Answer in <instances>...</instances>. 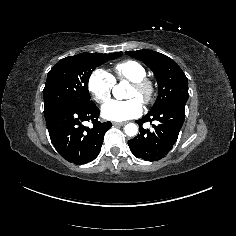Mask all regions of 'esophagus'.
Segmentation results:
<instances>
[{
    "label": "esophagus",
    "instance_id": "obj_1",
    "mask_svg": "<svg viewBox=\"0 0 236 236\" xmlns=\"http://www.w3.org/2000/svg\"><path fill=\"white\" fill-rule=\"evenodd\" d=\"M126 122H112L113 126H122L124 125Z\"/></svg>",
    "mask_w": 236,
    "mask_h": 236
}]
</instances>
